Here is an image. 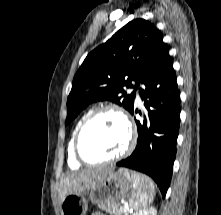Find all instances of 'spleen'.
<instances>
[{
    "label": "spleen",
    "mask_w": 221,
    "mask_h": 215,
    "mask_svg": "<svg viewBox=\"0 0 221 215\" xmlns=\"http://www.w3.org/2000/svg\"><path fill=\"white\" fill-rule=\"evenodd\" d=\"M135 192L129 198V206L135 211L147 208L153 201L155 188L150 178L135 177L134 185Z\"/></svg>",
    "instance_id": "obj_1"
}]
</instances>
